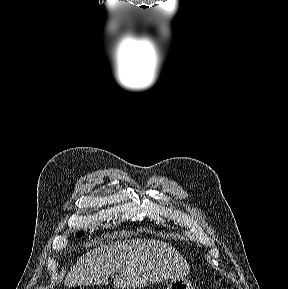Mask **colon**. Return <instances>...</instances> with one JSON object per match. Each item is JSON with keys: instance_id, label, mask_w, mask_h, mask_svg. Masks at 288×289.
Returning <instances> with one entry per match:
<instances>
[{"instance_id": "obj_1", "label": "colon", "mask_w": 288, "mask_h": 289, "mask_svg": "<svg viewBox=\"0 0 288 289\" xmlns=\"http://www.w3.org/2000/svg\"><path fill=\"white\" fill-rule=\"evenodd\" d=\"M75 289H82V288H80V287H77V288H75Z\"/></svg>"}]
</instances>
